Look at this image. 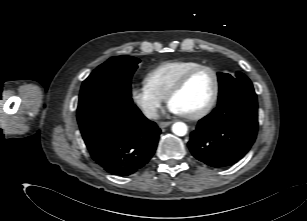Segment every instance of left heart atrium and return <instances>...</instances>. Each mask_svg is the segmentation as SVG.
<instances>
[{"instance_id":"1","label":"left heart atrium","mask_w":307,"mask_h":221,"mask_svg":"<svg viewBox=\"0 0 307 221\" xmlns=\"http://www.w3.org/2000/svg\"><path fill=\"white\" fill-rule=\"evenodd\" d=\"M168 110L173 114H181L173 105H168Z\"/></svg>"}]
</instances>
